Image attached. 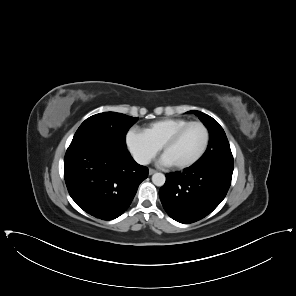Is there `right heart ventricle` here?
<instances>
[{
    "instance_id": "obj_1",
    "label": "right heart ventricle",
    "mask_w": 296,
    "mask_h": 296,
    "mask_svg": "<svg viewBox=\"0 0 296 296\" xmlns=\"http://www.w3.org/2000/svg\"><path fill=\"white\" fill-rule=\"evenodd\" d=\"M190 121L182 118H168L151 124L144 130L145 135L157 146L162 147L165 141L178 129Z\"/></svg>"
}]
</instances>
